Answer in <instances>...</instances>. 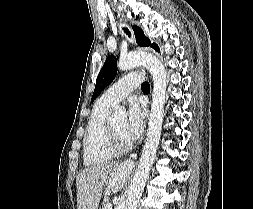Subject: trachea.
<instances>
[{
	"label": "trachea",
	"mask_w": 253,
	"mask_h": 209,
	"mask_svg": "<svg viewBox=\"0 0 253 209\" xmlns=\"http://www.w3.org/2000/svg\"><path fill=\"white\" fill-rule=\"evenodd\" d=\"M141 88H142V89H148V88H150V85H149L148 82H144V83L141 85Z\"/></svg>",
	"instance_id": "1"
}]
</instances>
